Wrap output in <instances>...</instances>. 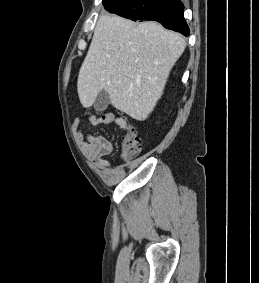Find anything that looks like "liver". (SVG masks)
<instances>
[{"mask_svg":"<svg viewBox=\"0 0 259 283\" xmlns=\"http://www.w3.org/2000/svg\"><path fill=\"white\" fill-rule=\"evenodd\" d=\"M185 47L181 35L159 23L136 24L116 15H101L78 75L82 106L91 107L104 90L113 107L135 120H146Z\"/></svg>","mask_w":259,"mask_h":283,"instance_id":"1","label":"liver"}]
</instances>
